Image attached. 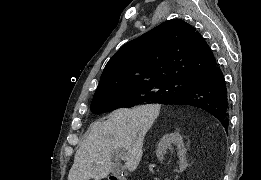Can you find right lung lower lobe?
<instances>
[{"instance_id": "right-lung-lower-lobe-1", "label": "right lung lower lobe", "mask_w": 261, "mask_h": 180, "mask_svg": "<svg viewBox=\"0 0 261 180\" xmlns=\"http://www.w3.org/2000/svg\"><path fill=\"white\" fill-rule=\"evenodd\" d=\"M163 104L195 106L214 115L225 129L229 126L227 88L218 65L200 72L187 92Z\"/></svg>"}]
</instances>
